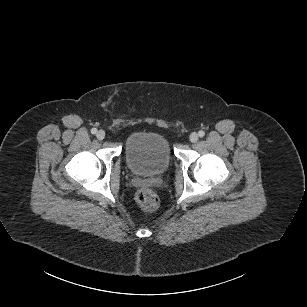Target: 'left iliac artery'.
I'll return each mask as SVG.
<instances>
[{"label":"left iliac artery","instance_id":"1","mask_svg":"<svg viewBox=\"0 0 307 307\" xmlns=\"http://www.w3.org/2000/svg\"><path fill=\"white\" fill-rule=\"evenodd\" d=\"M198 135H199V137H204L205 132L201 130V131L198 132Z\"/></svg>","mask_w":307,"mask_h":307}]
</instances>
